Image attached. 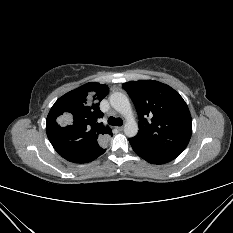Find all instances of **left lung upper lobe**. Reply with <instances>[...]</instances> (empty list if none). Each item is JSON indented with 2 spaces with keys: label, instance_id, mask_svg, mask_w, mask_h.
I'll return each mask as SVG.
<instances>
[{
  "label": "left lung upper lobe",
  "instance_id": "5c2ea615",
  "mask_svg": "<svg viewBox=\"0 0 233 233\" xmlns=\"http://www.w3.org/2000/svg\"><path fill=\"white\" fill-rule=\"evenodd\" d=\"M123 88L139 116V131L132 139L153 150L181 154L192 133L191 115L183 98L170 86L154 80L127 82Z\"/></svg>",
  "mask_w": 233,
  "mask_h": 233
}]
</instances>
